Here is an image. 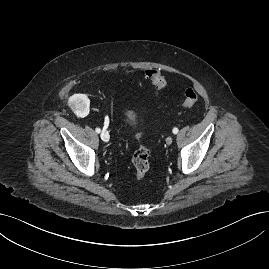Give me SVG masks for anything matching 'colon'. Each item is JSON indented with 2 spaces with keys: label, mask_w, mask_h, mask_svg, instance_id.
Segmentation results:
<instances>
[{
  "label": "colon",
  "mask_w": 269,
  "mask_h": 269,
  "mask_svg": "<svg viewBox=\"0 0 269 269\" xmlns=\"http://www.w3.org/2000/svg\"><path fill=\"white\" fill-rule=\"evenodd\" d=\"M146 76L149 79L151 85L156 90H161L166 86V80L160 72L157 70H148ZM198 100L197 94L193 88H187L184 93V99L181 103V107L184 109L191 108L196 105ZM138 140L141 136H137ZM150 150L144 145H140L132 158V164L134 167V173L137 180H143L150 168Z\"/></svg>",
  "instance_id": "5ec220e1"
}]
</instances>
